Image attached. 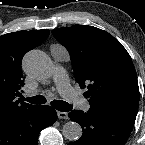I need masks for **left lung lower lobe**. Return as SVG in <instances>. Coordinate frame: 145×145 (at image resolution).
Listing matches in <instances>:
<instances>
[{
  "label": "left lung lower lobe",
  "instance_id": "left-lung-lower-lobe-1",
  "mask_svg": "<svg viewBox=\"0 0 145 145\" xmlns=\"http://www.w3.org/2000/svg\"><path fill=\"white\" fill-rule=\"evenodd\" d=\"M137 112L129 107H90L86 113L73 110L68 116L82 126L83 135L69 145H124Z\"/></svg>",
  "mask_w": 145,
  "mask_h": 145
}]
</instances>
